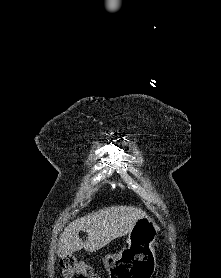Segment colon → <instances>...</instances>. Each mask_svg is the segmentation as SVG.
I'll use <instances>...</instances> for the list:
<instances>
[{"instance_id": "1", "label": "colon", "mask_w": 221, "mask_h": 278, "mask_svg": "<svg viewBox=\"0 0 221 278\" xmlns=\"http://www.w3.org/2000/svg\"><path fill=\"white\" fill-rule=\"evenodd\" d=\"M60 266L66 278H100L88 263L74 257L63 258Z\"/></svg>"}]
</instances>
